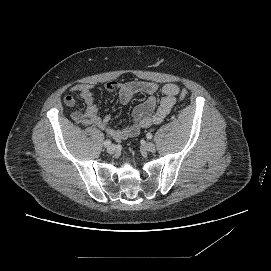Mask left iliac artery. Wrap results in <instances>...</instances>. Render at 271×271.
Masks as SVG:
<instances>
[{"instance_id":"1","label":"left iliac artery","mask_w":271,"mask_h":271,"mask_svg":"<svg viewBox=\"0 0 271 271\" xmlns=\"http://www.w3.org/2000/svg\"><path fill=\"white\" fill-rule=\"evenodd\" d=\"M146 137H147L148 139H152V133L148 132V133L146 134Z\"/></svg>"}]
</instances>
